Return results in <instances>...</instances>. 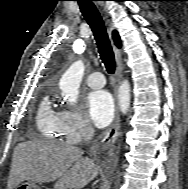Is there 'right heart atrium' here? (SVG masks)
I'll return each mask as SVG.
<instances>
[{
	"label": "right heart atrium",
	"mask_w": 188,
	"mask_h": 189,
	"mask_svg": "<svg viewBox=\"0 0 188 189\" xmlns=\"http://www.w3.org/2000/svg\"><path fill=\"white\" fill-rule=\"evenodd\" d=\"M60 113L64 134L70 142H77L82 136L90 134L91 126L78 109L69 108Z\"/></svg>",
	"instance_id": "obj_1"
}]
</instances>
